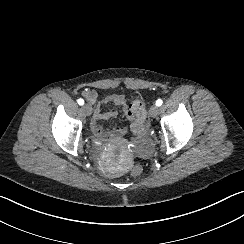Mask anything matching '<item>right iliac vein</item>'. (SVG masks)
I'll return each mask as SVG.
<instances>
[{
	"mask_svg": "<svg viewBox=\"0 0 244 244\" xmlns=\"http://www.w3.org/2000/svg\"><path fill=\"white\" fill-rule=\"evenodd\" d=\"M82 110L87 115H91V113H92V107L89 104L83 105Z\"/></svg>",
	"mask_w": 244,
	"mask_h": 244,
	"instance_id": "right-iliac-vein-1",
	"label": "right iliac vein"
}]
</instances>
